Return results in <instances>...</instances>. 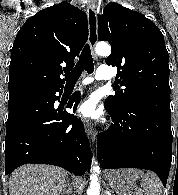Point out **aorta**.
Returning <instances> with one entry per match:
<instances>
[{
    "mask_svg": "<svg viewBox=\"0 0 178 195\" xmlns=\"http://www.w3.org/2000/svg\"><path fill=\"white\" fill-rule=\"evenodd\" d=\"M95 51L100 56H108L111 53V47L106 42H99L96 45ZM100 168L96 163H93L92 171L93 174L91 175V182L89 189L87 191L88 195H100V183L97 176V172H99Z\"/></svg>",
    "mask_w": 178,
    "mask_h": 195,
    "instance_id": "1",
    "label": "aorta"
}]
</instances>
